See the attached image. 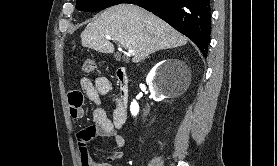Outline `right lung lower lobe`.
<instances>
[{"label":"right lung lower lobe","mask_w":277,"mask_h":166,"mask_svg":"<svg viewBox=\"0 0 277 166\" xmlns=\"http://www.w3.org/2000/svg\"><path fill=\"white\" fill-rule=\"evenodd\" d=\"M160 17L192 40L207 56L211 30L210 0H123Z\"/></svg>","instance_id":"98d812e1"}]
</instances>
